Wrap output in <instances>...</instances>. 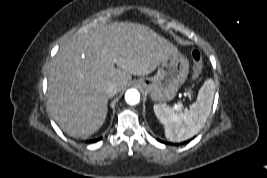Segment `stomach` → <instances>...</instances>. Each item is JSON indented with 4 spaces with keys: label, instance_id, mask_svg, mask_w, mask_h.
Here are the masks:
<instances>
[{
    "label": "stomach",
    "instance_id": "0dacf381",
    "mask_svg": "<svg viewBox=\"0 0 267 178\" xmlns=\"http://www.w3.org/2000/svg\"><path fill=\"white\" fill-rule=\"evenodd\" d=\"M189 73V62L181 53L169 54L160 64L154 77H143L136 81L153 101L172 100Z\"/></svg>",
    "mask_w": 267,
    "mask_h": 178
}]
</instances>
